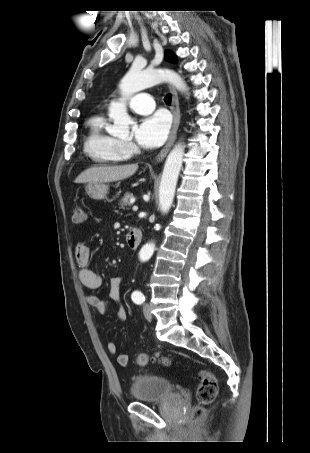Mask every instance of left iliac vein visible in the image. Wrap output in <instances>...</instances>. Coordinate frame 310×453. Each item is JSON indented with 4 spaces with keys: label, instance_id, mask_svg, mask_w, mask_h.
I'll return each instance as SVG.
<instances>
[{
    "label": "left iliac vein",
    "instance_id": "obj_1",
    "mask_svg": "<svg viewBox=\"0 0 310 453\" xmlns=\"http://www.w3.org/2000/svg\"><path fill=\"white\" fill-rule=\"evenodd\" d=\"M143 314H144L145 318L148 319V320H150L152 318V314H151V311H150V306L147 303H145L143 305Z\"/></svg>",
    "mask_w": 310,
    "mask_h": 453
}]
</instances>
